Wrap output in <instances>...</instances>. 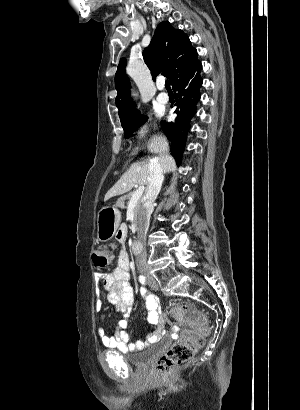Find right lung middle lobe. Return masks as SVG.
I'll list each match as a JSON object with an SVG mask.
<instances>
[{
	"mask_svg": "<svg viewBox=\"0 0 300 410\" xmlns=\"http://www.w3.org/2000/svg\"><path fill=\"white\" fill-rule=\"evenodd\" d=\"M146 120V116H139V113H137L132 119L121 123L122 127L124 128L125 136L127 138L131 136L132 133L136 131L138 127H140Z\"/></svg>",
	"mask_w": 300,
	"mask_h": 410,
	"instance_id": "obj_1",
	"label": "right lung middle lobe"
}]
</instances>
